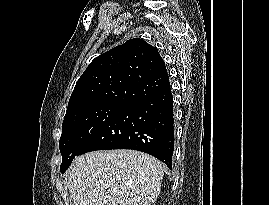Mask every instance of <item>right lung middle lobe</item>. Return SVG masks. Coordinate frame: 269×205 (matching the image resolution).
Instances as JSON below:
<instances>
[{
	"instance_id": "obj_1",
	"label": "right lung middle lobe",
	"mask_w": 269,
	"mask_h": 205,
	"mask_svg": "<svg viewBox=\"0 0 269 205\" xmlns=\"http://www.w3.org/2000/svg\"><path fill=\"white\" fill-rule=\"evenodd\" d=\"M127 106L119 103H98L77 108L65 115L59 141L62 155L61 173L67 170L88 141Z\"/></svg>"
}]
</instances>
